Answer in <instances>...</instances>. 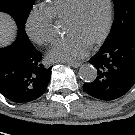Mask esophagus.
<instances>
[{
  "instance_id": "obj_1",
  "label": "esophagus",
  "mask_w": 135,
  "mask_h": 135,
  "mask_svg": "<svg viewBox=\"0 0 135 135\" xmlns=\"http://www.w3.org/2000/svg\"><path fill=\"white\" fill-rule=\"evenodd\" d=\"M67 64L73 68H78L81 65V62H69Z\"/></svg>"
}]
</instances>
